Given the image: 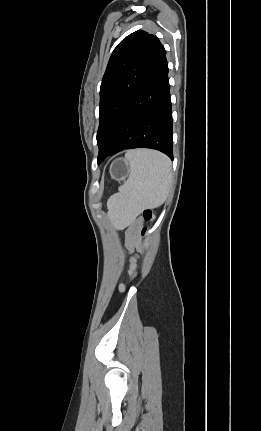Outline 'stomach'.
<instances>
[{"instance_id":"1","label":"stomach","mask_w":261,"mask_h":431,"mask_svg":"<svg viewBox=\"0 0 261 431\" xmlns=\"http://www.w3.org/2000/svg\"><path fill=\"white\" fill-rule=\"evenodd\" d=\"M130 168L125 159H116L111 163L110 175L116 181H123L129 177Z\"/></svg>"}]
</instances>
